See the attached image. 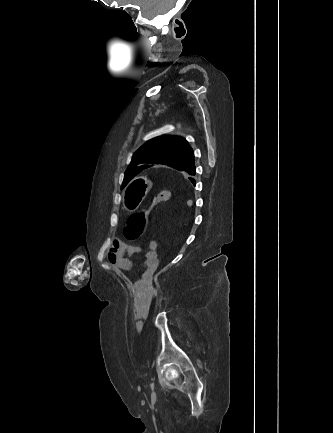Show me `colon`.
I'll use <instances>...</instances> for the list:
<instances>
[{
	"label": "colon",
	"instance_id": "obj_1",
	"mask_svg": "<svg viewBox=\"0 0 333 433\" xmlns=\"http://www.w3.org/2000/svg\"><path fill=\"white\" fill-rule=\"evenodd\" d=\"M171 194L167 191L161 192L154 197L149 208L143 209L130 215L123 228L124 238L128 241L138 240L144 233L149 217L154 208L162 202L169 200Z\"/></svg>",
	"mask_w": 333,
	"mask_h": 433
}]
</instances>
